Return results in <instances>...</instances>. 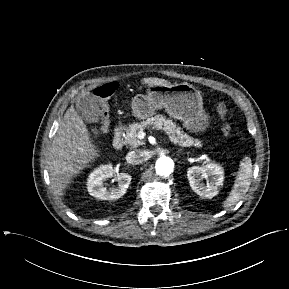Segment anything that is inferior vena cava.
Returning a JSON list of instances; mask_svg holds the SVG:
<instances>
[{"label":"inferior vena cava","instance_id":"1","mask_svg":"<svg viewBox=\"0 0 289 289\" xmlns=\"http://www.w3.org/2000/svg\"><path fill=\"white\" fill-rule=\"evenodd\" d=\"M149 159L148 153L145 150L136 149L130 151L126 155V160L129 164H141Z\"/></svg>","mask_w":289,"mask_h":289}]
</instances>
